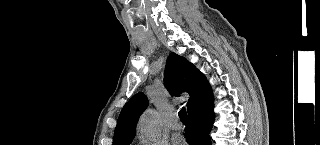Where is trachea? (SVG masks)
Masks as SVG:
<instances>
[{"mask_svg": "<svg viewBox=\"0 0 320 145\" xmlns=\"http://www.w3.org/2000/svg\"><path fill=\"white\" fill-rule=\"evenodd\" d=\"M179 117L181 121H185V122L188 121V117L184 107L179 111Z\"/></svg>", "mask_w": 320, "mask_h": 145, "instance_id": "trachea-1", "label": "trachea"}]
</instances>
